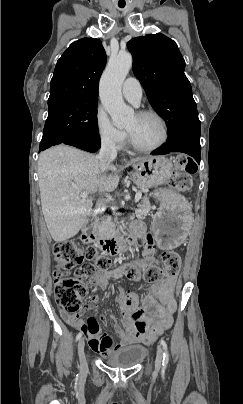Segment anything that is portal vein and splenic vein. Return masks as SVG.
<instances>
[{
	"mask_svg": "<svg viewBox=\"0 0 243 404\" xmlns=\"http://www.w3.org/2000/svg\"><path fill=\"white\" fill-rule=\"evenodd\" d=\"M141 196V192H136L135 202H139V200H141ZM80 198H82V200L88 198V192H82V194H80ZM106 198H108V200H112L111 196H106Z\"/></svg>",
	"mask_w": 243,
	"mask_h": 404,
	"instance_id": "1",
	"label": "portal vein and splenic vein"
}]
</instances>
